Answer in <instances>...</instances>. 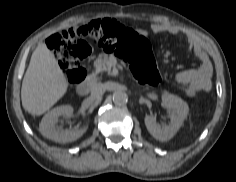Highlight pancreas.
<instances>
[{
    "mask_svg": "<svg viewBox=\"0 0 236 182\" xmlns=\"http://www.w3.org/2000/svg\"><path fill=\"white\" fill-rule=\"evenodd\" d=\"M96 74L99 72H110L112 65L109 61V57L106 54L99 55L95 60Z\"/></svg>",
    "mask_w": 236,
    "mask_h": 182,
    "instance_id": "cf45deb5",
    "label": "pancreas"
}]
</instances>
